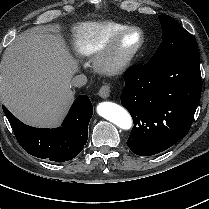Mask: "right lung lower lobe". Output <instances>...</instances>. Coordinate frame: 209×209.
Returning <instances> with one entry per match:
<instances>
[{
  "label": "right lung lower lobe",
  "mask_w": 209,
  "mask_h": 209,
  "mask_svg": "<svg viewBox=\"0 0 209 209\" xmlns=\"http://www.w3.org/2000/svg\"><path fill=\"white\" fill-rule=\"evenodd\" d=\"M2 108L19 144L35 157L56 162L68 161L76 157L87 142L93 107L86 95L77 97L62 125L54 129L25 125L5 106Z\"/></svg>",
  "instance_id": "1"
}]
</instances>
